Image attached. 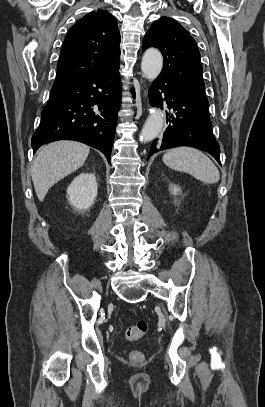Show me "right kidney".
Returning a JSON list of instances; mask_svg holds the SVG:
<instances>
[{"mask_svg": "<svg viewBox=\"0 0 265 407\" xmlns=\"http://www.w3.org/2000/svg\"><path fill=\"white\" fill-rule=\"evenodd\" d=\"M96 177L92 173H81L73 179L67 188V196L70 204L76 209H89L97 196Z\"/></svg>", "mask_w": 265, "mask_h": 407, "instance_id": "right-kidney-1", "label": "right kidney"}]
</instances>
